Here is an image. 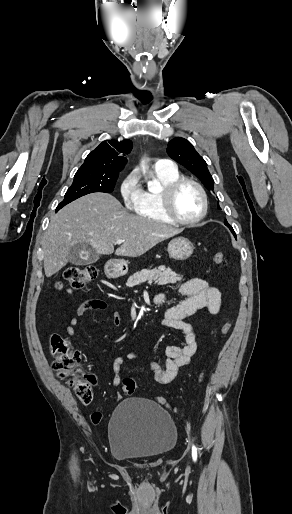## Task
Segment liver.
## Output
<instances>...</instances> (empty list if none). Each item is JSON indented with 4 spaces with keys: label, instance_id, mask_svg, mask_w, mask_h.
<instances>
[{
    "label": "liver",
    "instance_id": "1",
    "mask_svg": "<svg viewBox=\"0 0 292 514\" xmlns=\"http://www.w3.org/2000/svg\"><path fill=\"white\" fill-rule=\"evenodd\" d=\"M183 232L129 214L110 194H88L51 216L43 244L44 272L47 278L68 262L71 246L86 242L97 254H113L117 240H125L116 256L137 258L150 248Z\"/></svg>",
    "mask_w": 292,
    "mask_h": 514
}]
</instances>
